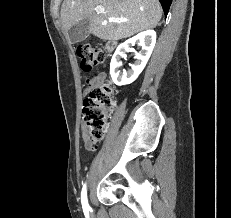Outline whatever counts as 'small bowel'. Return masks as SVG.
Masks as SVG:
<instances>
[{"instance_id": "small-bowel-1", "label": "small bowel", "mask_w": 231, "mask_h": 218, "mask_svg": "<svg viewBox=\"0 0 231 218\" xmlns=\"http://www.w3.org/2000/svg\"><path fill=\"white\" fill-rule=\"evenodd\" d=\"M105 79V75L100 73L98 75H96L95 77H93L92 79L87 81V85L89 89H92L93 87L99 85L100 83H102ZM81 139L83 141L84 147L88 152H91L95 149V143H93L87 133L86 127L82 126L81 127Z\"/></svg>"}]
</instances>
